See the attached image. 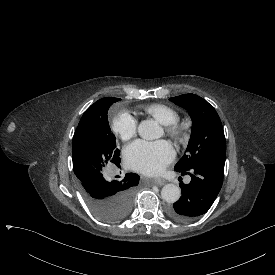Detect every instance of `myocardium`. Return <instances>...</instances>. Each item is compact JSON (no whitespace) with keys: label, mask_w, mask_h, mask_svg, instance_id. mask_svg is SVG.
<instances>
[{"label":"myocardium","mask_w":275,"mask_h":275,"mask_svg":"<svg viewBox=\"0 0 275 275\" xmlns=\"http://www.w3.org/2000/svg\"><path fill=\"white\" fill-rule=\"evenodd\" d=\"M165 134L174 141H181L183 137V128L179 124L174 123L165 127Z\"/></svg>","instance_id":"1"}]
</instances>
